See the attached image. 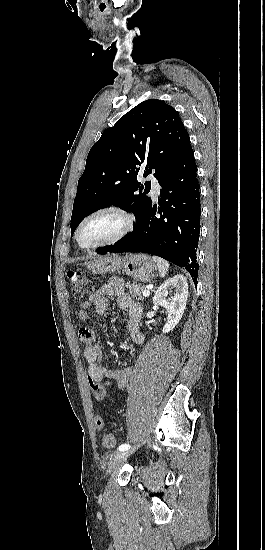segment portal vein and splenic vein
I'll return each mask as SVG.
<instances>
[{"label":"portal vein and splenic vein","instance_id":"18ae733b","mask_svg":"<svg viewBox=\"0 0 265 550\" xmlns=\"http://www.w3.org/2000/svg\"><path fill=\"white\" fill-rule=\"evenodd\" d=\"M149 295H150V291H149V290H145V291L143 292V296H144V297H149Z\"/></svg>","mask_w":265,"mask_h":550}]
</instances>
